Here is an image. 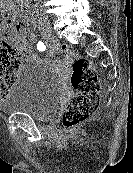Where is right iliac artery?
Masks as SVG:
<instances>
[{"label": "right iliac artery", "instance_id": "82829eb1", "mask_svg": "<svg viewBox=\"0 0 133 173\" xmlns=\"http://www.w3.org/2000/svg\"><path fill=\"white\" fill-rule=\"evenodd\" d=\"M32 20L33 21H35V18H32ZM38 28H39V30L41 31V33H42V35H43V43L45 44V46L46 47H51V43H49V37H47V34H46V32H45V30H44V28L41 26V24H40V22H39V20H38Z\"/></svg>", "mask_w": 133, "mask_h": 173}]
</instances>
